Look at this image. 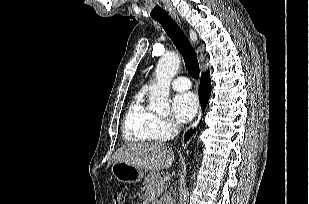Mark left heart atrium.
I'll use <instances>...</instances> for the list:
<instances>
[{
  "label": "left heart atrium",
  "instance_id": "39dd6f15",
  "mask_svg": "<svg viewBox=\"0 0 309 204\" xmlns=\"http://www.w3.org/2000/svg\"><path fill=\"white\" fill-rule=\"evenodd\" d=\"M198 108V98L192 92L180 93L172 100L173 113L181 123L189 122L196 115Z\"/></svg>",
  "mask_w": 309,
  "mask_h": 204
}]
</instances>
